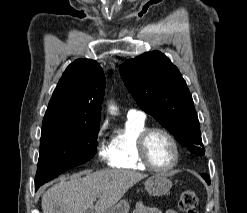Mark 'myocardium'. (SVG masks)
<instances>
[{"label":"myocardium","instance_id":"myocardium-1","mask_svg":"<svg viewBox=\"0 0 247 213\" xmlns=\"http://www.w3.org/2000/svg\"><path fill=\"white\" fill-rule=\"evenodd\" d=\"M155 132L163 133L169 138L170 142L172 143L173 150H174V159H173V162L167 167H157L149 159V156L147 153V141H148L149 136ZM136 150H137V156L140 162L146 168L152 171H155V172H160V173L169 172L178 165V162L180 160V148H179L177 139L169 130L163 127H159V126L146 128L138 135L137 142H136Z\"/></svg>","mask_w":247,"mask_h":213}]
</instances>
